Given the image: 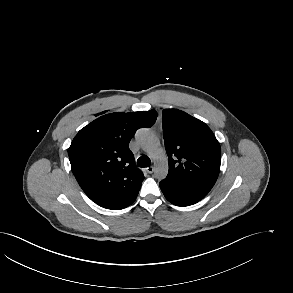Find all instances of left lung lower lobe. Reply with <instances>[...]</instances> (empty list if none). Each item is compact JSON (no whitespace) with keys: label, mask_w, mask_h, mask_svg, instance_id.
Here are the masks:
<instances>
[{"label":"left lung lower lobe","mask_w":293,"mask_h":293,"mask_svg":"<svg viewBox=\"0 0 293 293\" xmlns=\"http://www.w3.org/2000/svg\"><path fill=\"white\" fill-rule=\"evenodd\" d=\"M159 186L166 199L177 206H189L202 200L208 192H197L192 189L178 187L161 181Z\"/></svg>","instance_id":"0a47b994"}]
</instances>
